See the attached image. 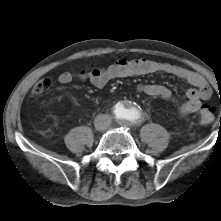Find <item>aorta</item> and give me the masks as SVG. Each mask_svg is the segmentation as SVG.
<instances>
[{
  "label": "aorta",
  "mask_w": 221,
  "mask_h": 221,
  "mask_svg": "<svg viewBox=\"0 0 221 221\" xmlns=\"http://www.w3.org/2000/svg\"><path fill=\"white\" fill-rule=\"evenodd\" d=\"M138 108L130 103H122L116 108V118L119 120L126 119L129 115L135 116L138 114Z\"/></svg>",
  "instance_id": "obj_1"
}]
</instances>
